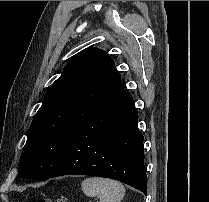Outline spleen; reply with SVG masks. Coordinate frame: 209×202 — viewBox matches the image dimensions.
Returning <instances> with one entry per match:
<instances>
[{"label":"spleen","mask_w":209,"mask_h":202,"mask_svg":"<svg viewBox=\"0 0 209 202\" xmlns=\"http://www.w3.org/2000/svg\"><path fill=\"white\" fill-rule=\"evenodd\" d=\"M81 186L86 196L98 197L100 202H120L125 195L124 185L112 179L89 177Z\"/></svg>","instance_id":"1"}]
</instances>
